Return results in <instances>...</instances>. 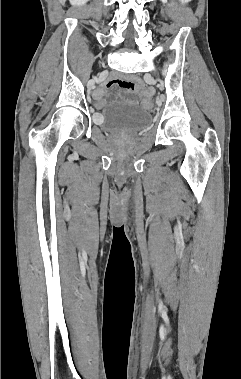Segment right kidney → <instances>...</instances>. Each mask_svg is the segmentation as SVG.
<instances>
[{"instance_id": "obj_1", "label": "right kidney", "mask_w": 241, "mask_h": 379, "mask_svg": "<svg viewBox=\"0 0 241 379\" xmlns=\"http://www.w3.org/2000/svg\"><path fill=\"white\" fill-rule=\"evenodd\" d=\"M71 5L73 6H82L84 5L88 0H69Z\"/></svg>"}]
</instances>
